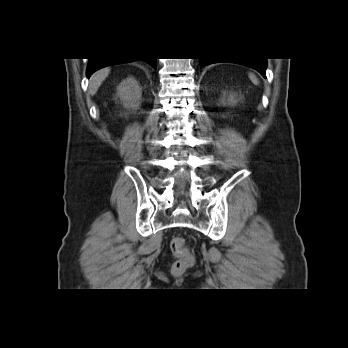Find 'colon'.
Listing matches in <instances>:
<instances>
[{
	"instance_id": "obj_1",
	"label": "colon",
	"mask_w": 348,
	"mask_h": 348,
	"mask_svg": "<svg viewBox=\"0 0 348 348\" xmlns=\"http://www.w3.org/2000/svg\"><path fill=\"white\" fill-rule=\"evenodd\" d=\"M170 249L176 258L172 272L175 275L183 273L187 268L191 267L194 259L186 244V241L181 237H175L170 241Z\"/></svg>"
}]
</instances>
